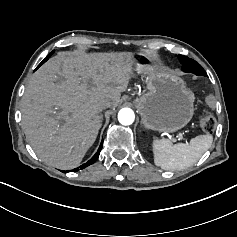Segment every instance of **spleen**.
<instances>
[{
  "mask_svg": "<svg viewBox=\"0 0 237 237\" xmlns=\"http://www.w3.org/2000/svg\"><path fill=\"white\" fill-rule=\"evenodd\" d=\"M212 143V133L197 135L190 144H173L167 138L153 139L151 148L154 165L166 171L184 170L193 166Z\"/></svg>",
  "mask_w": 237,
  "mask_h": 237,
  "instance_id": "3e777b00",
  "label": "spleen"
}]
</instances>
